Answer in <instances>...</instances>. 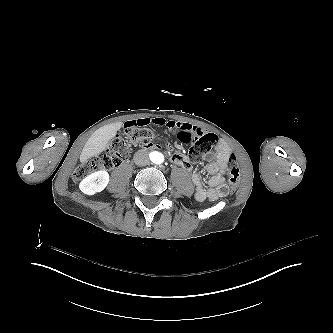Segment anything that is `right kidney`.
I'll use <instances>...</instances> for the list:
<instances>
[{
  "label": "right kidney",
  "instance_id": "ca27d5eb",
  "mask_svg": "<svg viewBox=\"0 0 333 333\" xmlns=\"http://www.w3.org/2000/svg\"><path fill=\"white\" fill-rule=\"evenodd\" d=\"M97 180H99L98 183L96 182ZM109 181L110 176L106 170L96 171L81 180L79 190L88 196H93L102 192L107 187Z\"/></svg>",
  "mask_w": 333,
  "mask_h": 333
}]
</instances>
